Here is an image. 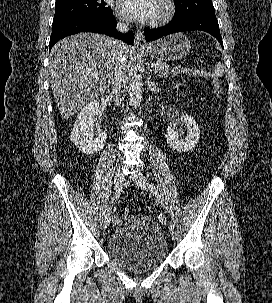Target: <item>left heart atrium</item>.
Masks as SVG:
<instances>
[{
	"label": "left heart atrium",
	"instance_id": "obj_1",
	"mask_svg": "<svg viewBox=\"0 0 272 303\" xmlns=\"http://www.w3.org/2000/svg\"><path fill=\"white\" fill-rule=\"evenodd\" d=\"M160 0H121L119 10L123 16L149 21L156 17Z\"/></svg>",
	"mask_w": 272,
	"mask_h": 303
}]
</instances>
